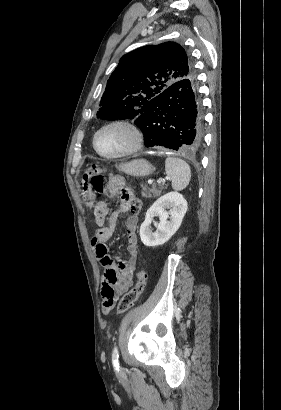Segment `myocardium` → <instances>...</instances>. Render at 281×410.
<instances>
[{"label": "myocardium", "mask_w": 281, "mask_h": 410, "mask_svg": "<svg viewBox=\"0 0 281 410\" xmlns=\"http://www.w3.org/2000/svg\"><path fill=\"white\" fill-rule=\"evenodd\" d=\"M113 127H121V128H125L127 129L131 136H132V144L131 146L118 154H105L103 152H101L98 147H97V137L99 135L100 132H102L105 129L108 128H113ZM144 143V135L142 130L133 122L127 120V119H116V120H112L109 121L103 125H101L93 134V138H92V146L95 150V152L106 159H119V158H124L127 156H130L134 153H136L137 151H139Z\"/></svg>", "instance_id": "1"}]
</instances>
